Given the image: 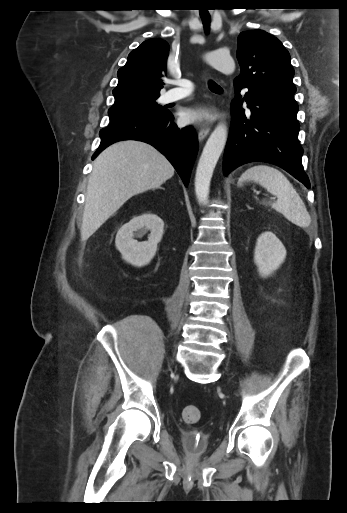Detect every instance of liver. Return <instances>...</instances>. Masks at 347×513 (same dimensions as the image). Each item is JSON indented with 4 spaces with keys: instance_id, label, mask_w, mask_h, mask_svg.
<instances>
[{
    "instance_id": "obj_1",
    "label": "liver",
    "mask_w": 347,
    "mask_h": 513,
    "mask_svg": "<svg viewBox=\"0 0 347 513\" xmlns=\"http://www.w3.org/2000/svg\"><path fill=\"white\" fill-rule=\"evenodd\" d=\"M174 175L170 162L137 140L116 142L94 160L89 176L81 238L87 240L128 199L159 188Z\"/></svg>"
}]
</instances>
